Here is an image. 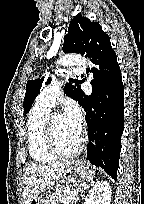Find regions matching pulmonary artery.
Wrapping results in <instances>:
<instances>
[{"instance_id": "1", "label": "pulmonary artery", "mask_w": 144, "mask_h": 204, "mask_svg": "<svg viewBox=\"0 0 144 204\" xmlns=\"http://www.w3.org/2000/svg\"><path fill=\"white\" fill-rule=\"evenodd\" d=\"M80 73H82V69H77L76 71H74L73 74L78 75ZM64 81L65 80H57L45 87L39 93L36 102L51 109L54 106L56 99L61 93V88Z\"/></svg>"}]
</instances>
